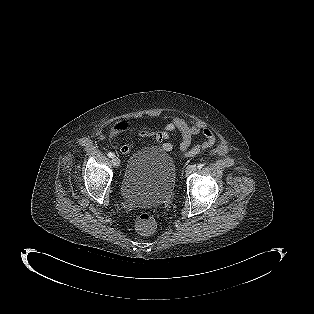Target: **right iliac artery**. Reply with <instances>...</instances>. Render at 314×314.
Returning <instances> with one entry per match:
<instances>
[{"mask_svg":"<svg viewBox=\"0 0 314 314\" xmlns=\"http://www.w3.org/2000/svg\"><path fill=\"white\" fill-rule=\"evenodd\" d=\"M108 156H109L110 158H113V157H114V154H113L112 152H109V153H108Z\"/></svg>","mask_w":314,"mask_h":314,"instance_id":"obj_1","label":"right iliac artery"}]
</instances>
